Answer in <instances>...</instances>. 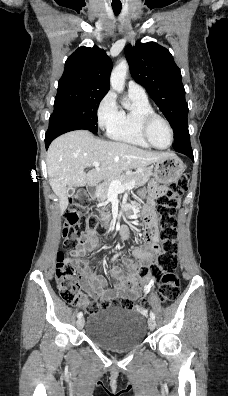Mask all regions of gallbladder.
<instances>
[{
	"label": "gallbladder",
	"mask_w": 228,
	"mask_h": 396,
	"mask_svg": "<svg viewBox=\"0 0 228 396\" xmlns=\"http://www.w3.org/2000/svg\"><path fill=\"white\" fill-rule=\"evenodd\" d=\"M69 191L71 192V194L74 193V192H75V187H71V188L69 189Z\"/></svg>",
	"instance_id": "obj_1"
}]
</instances>
